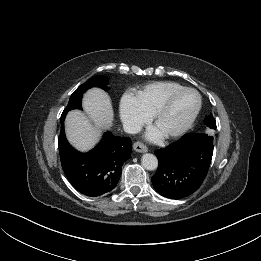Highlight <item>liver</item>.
<instances>
[{
    "label": "liver",
    "instance_id": "6515ba94",
    "mask_svg": "<svg viewBox=\"0 0 261 261\" xmlns=\"http://www.w3.org/2000/svg\"><path fill=\"white\" fill-rule=\"evenodd\" d=\"M83 108L94 125L78 110L69 112L65 121L68 141L82 152L95 145L100 130L109 128L114 117L108 94L99 88H92L84 94Z\"/></svg>",
    "mask_w": 261,
    "mask_h": 261
}]
</instances>
